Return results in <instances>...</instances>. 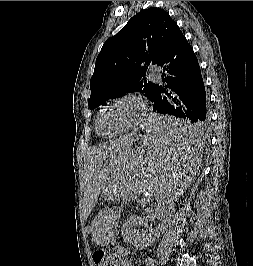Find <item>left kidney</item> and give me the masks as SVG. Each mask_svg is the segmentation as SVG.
I'll list each match as a JSON object with an SVG mask.
<instances>
[{
  "mask_svg": "<svg viewBox=\"0 0 253 266\" xmlns=\"http://www.w3.org/2000/svg\"><path fill=\"white\" fill-rule=\"evenodd\" d=\"M148 216L143 218L136 215L130 216L122 226V237L123 239L135 246V247H144L151 243L156 238L155 231H145L139 232L137 227L143 225L147 221Z\"/></svg>",
  "mask_w": 253,
  "mask_h": 266,
  "instance_id": "obj_1",
  "label": "left kidney"
}]
</instances>
